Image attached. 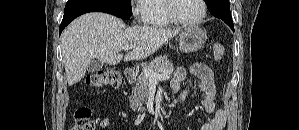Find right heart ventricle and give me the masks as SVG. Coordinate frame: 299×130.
<instances>
[{
  "label": "right heart ventricle",
  "instance_id": "e07e8e85",
  "mask_svg": "<svg viewBox=\"0 0 299 130\" xmlns=\"http://www.w3.org/2000/svg\"><path fill=\"white\" fill-rule=\"evenodd\" d=\"M166 0H148L145 6V23L153 27H167L173 22L169 19L166 8Z\"/></svg>",
  "mask_w": 299,
  "mask_h": 130
}]
</instances>
